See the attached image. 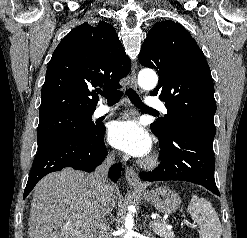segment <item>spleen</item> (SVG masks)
Returning a JSON list of instances; mask_svg holds the SVG:
<instances>
[{
    "mask_svg": "<svg viewBox=\"0 0 247 238\" xmlns=\"http://www.w3.org/2000/svg\"><path fill=\"white\" fill-rule=\"evenodd\" d=\"M187 211L191 219L200 228V238H220L222 233L221 223L216 211L208 200L192 195Z\"/></svg>",
    "mask_w": 247,
    "mask_h": 238,
    "instance_id": "1",
    "label": "spleen"
}]
</instances>
